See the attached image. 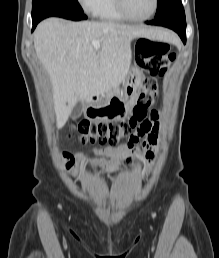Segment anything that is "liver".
Here are the masks:
<instances>
[{
  "mask_svg": "<svg viewBox=\"0 0 219 258\" xmlns=\"http://www.w3.org/2000/svg\"><path fill=\"white\" fill-rule=\"evenodd\" d=\"M136 37L173 40L164 30L111 22H63L49 18L34 32V48L48 73L57 125H63L78 102L117 88L131 64V41ZM92 41H99L97 52Z\"/></svg>",
  "mask_w": 219,
  "mask_h": 258,
  "instance_id": "liver-1",
  "label": "liver"
}]
</instances>
